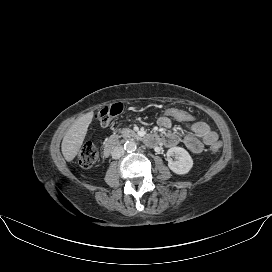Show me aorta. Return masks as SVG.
I'll return each mask as SVG.
<instances>
[{"label":"aorta","mask_w":272,"mask_h":272,"mask_svg":"<svg viewBox=\"0 0 272 272\" xmlns=\"http://www.w3.org/2000/svg\"><path fill=\"white\" fill-rule=\"evenodd\" d=\"M124 149L127 151V152H134L136 149H137V145L135 143V141L133 140H128L125 142L124 144Z\"/></svg>","instance_id":"1"}]
</instances>
